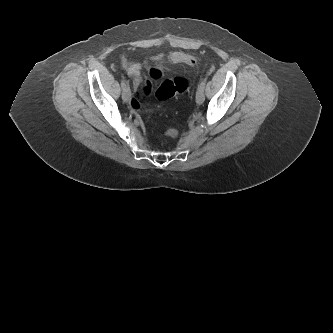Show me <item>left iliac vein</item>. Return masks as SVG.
I'll list each match as a JSON object with an SVG mask.
<instances>
[{
  "mask_svg": "<svg viewBox=\"0 0 333 333\" xmlns=\"http://www.w3.org/2000/svg\"><path fill=\"white\" fill-rule=\"evenodd\" d=\"M204 100H205L204 89L198 88L196 93V103L200 105L204 102Z\"/></svg>",
  "mask_w": 333,
  "mask_h": 333,
  "instance_id": "4c4485c4",
  "label": "left iliac vein"
}]
</instances>
